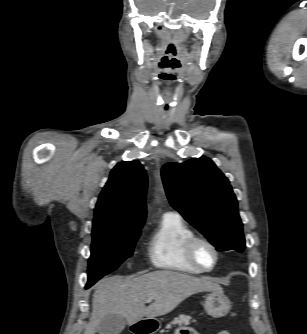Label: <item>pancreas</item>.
<instances>
[{
  "mask_svg": "<svg viewBox=\"0 0 307 334\" xmlns=\"http://www.w3.org/2000/svg\"><path fill=\"white\" fill-rule=\"evenodd\" d=\"M191 322H195L192 318L188 315H179L176 317L170 324L166 326L167 330H161V333L168 332V329H171L173 325H182V324H190Z\"/></svg>",
  "mask_w": 307,
  "mask_h": 334,
  "instance_id": "pancreas-1",
  "label": "pancreas"
}]
</instances>
